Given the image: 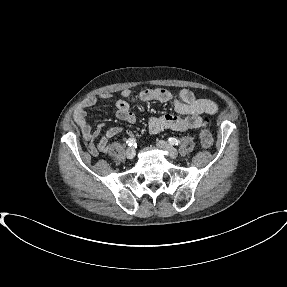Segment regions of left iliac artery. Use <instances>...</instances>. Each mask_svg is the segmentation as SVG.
<instances>
[{
    "instance_id": "left-iliac-artery-1",
    "label": "left iliac artery",
    "mask_w": 287,
    "mask_h": 287,
    "mask_svg": "<svg viewBox=\"0 0 287 287\" xmlns=\"http://www.w3.org/2000/svg\"><path fill=\"white\" fill-rule=\"evenodd\" d=\"M168 142L171 144V145H179L180 144V141L174 137H169L168 138Z\"/></svg>"
}]
</instances>
